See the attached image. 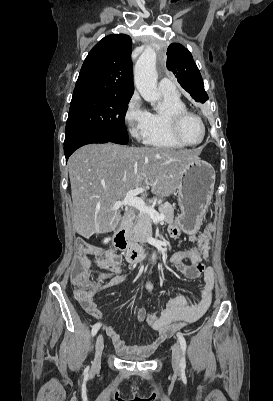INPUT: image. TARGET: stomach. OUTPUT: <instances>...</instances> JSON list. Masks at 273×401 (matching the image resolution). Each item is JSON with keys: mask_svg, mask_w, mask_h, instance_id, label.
<instances>
[{"mask_svg": "<svg viewBox=\"0 0 273 401\" xmlns=\"http://www.w3.org/2000/svg\"><path fill=\"white\" fill-rule=\"evenodd\" d=\"M214 184L215 170L206 160H191L180 170L177 198L181 215L176 217L175 223L186 235H195L199 231Z\"/></svg>", "mask_w": 273, "mask_h": 401, "instance_id": "0dacf381", "label": "stomach"}]
</instances>
